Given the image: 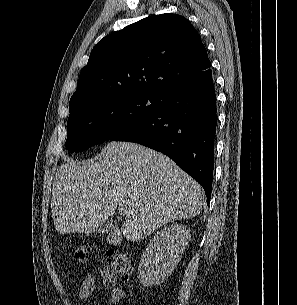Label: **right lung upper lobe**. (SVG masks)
<instances>
[{"mask_svg":"<svg viewBox=\"0 0 297 305\" xmlns=\"http://www.w3.org/2000/svg\"><path fill=\"white\" fill-rule=\"evenodd\" d=\"M200 35L183 16L147 17L104 37L92 50L69 103L70 112L128 92L162 96L212 77Z\"/></svg>","mask_w":297,"mask_h":305,"instance_id":"obj_1","label":"right lung upper lobe"}]
</instances>
